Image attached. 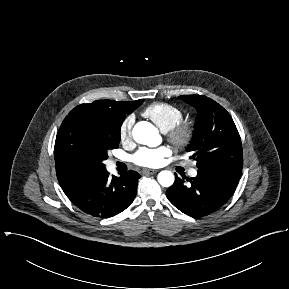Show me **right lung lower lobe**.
<instances>
[{
  "instance_id": "right-lung-lower-lobe-1",
  "label": "right lung lower lobe",
  "mask_w": 289,
  "mask_h": 289,
  "mask_svg": "<svg viewBox=\"0 0 289 289\" xmlns=\"http://www.w3.org/2000/svg\"><path fill=\"white\" fill-rule=\"evenodd\" d=\"M140 175L135 171L112 176L103 173L83 182L66 194L69 200L88 215L109 218L124 211L134 200Z\"/></svg>"
}]
</instances>
